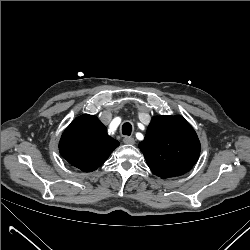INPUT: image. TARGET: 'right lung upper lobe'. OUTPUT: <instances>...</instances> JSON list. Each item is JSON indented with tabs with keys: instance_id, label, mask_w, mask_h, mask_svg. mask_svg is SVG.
Instances as JSON below:
<instances>
[{
	"instance_id": "obj_1",
	"label": "right lung upper lobe",
	"mask_w": 250,
	"mask_h": 250,
	"mask_svg": "<svg viewBox=\"0 0 250 250\" xmlns=\"http://www.w3.org/2000/svg\"><path fill=\"white\" fill-rule=\"evenodd\" d=\"M118 146L119 142L107 134L106 127L96 116L83 114L63 132L59 151L74 167L91 172L101 166Z\"/></svg>"
}]
</instances>
